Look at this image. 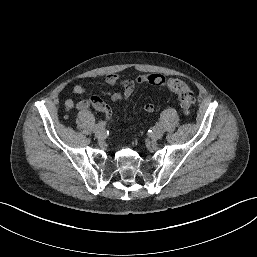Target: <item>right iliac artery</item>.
<instances>
[{
  "label": "right iliac artery",
  "mask_w": 257,
  "mask_h": 257,
  "mask_svg": "<svg viewBox=\"0 0 257 257\" xmlns=\"http://www.w3.org/2000/svg\"><path fill=\"white\" fill-rule=\"evenodd\" d=\"M105 126L106 122L101 121L93 126V131L97 132L98 130L103 129Z\"/></svg>",
  "instance_id": "82829eb1"
}]
</instances>
